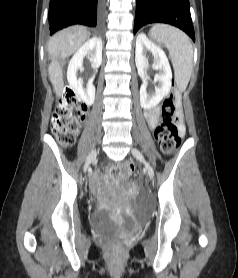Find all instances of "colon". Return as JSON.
I'll return each mask as SVG.
<instances>
[{
  "label": "colon",
  "instance_id": "5ec220e1",
  "mask_svg": "<svg viewBox=\"0 0 238 278\" xmlns=\"http://www.w3.org/2000/svg\"><path fill=\"white\" fill-rule=\"evenodd\" d=\"M88 107L70 89H67L59 102L52 120V132L61 147L68 148L75 144L82 123L85 121ZM176 114V96L167 95L161 104V122L155 130V137L163 153L169 154L181 143ZM134 165L125 161L107 168V175L112 182H118L130 176ZM113 249L119 248L118 242H112Z\"/></svg>",
  "mask_w": 238,
  "mask_h": 278
}]
</instances>
